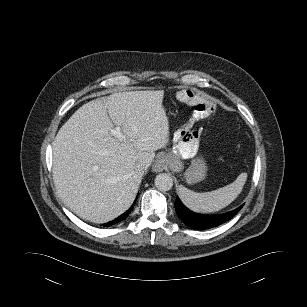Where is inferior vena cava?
<instances>
[{
    "label": "inferior vena cava",
    "instance_id": "1",
    "mask_svg": "<svg viewBox=\"0 0 307 307\" xmlns=\"http://www.w3.org/2000/svg\"><path fill=\"white\" fill-rule=\"evenodd\" d=\"M148 168V165L146 164V162L142 161V162H139L137 165H136V169L139 171V173L143 174L144 171Z\"/></svg>",
    "mask_w": 307,
    "mask_h": 307
}]
</instances>
